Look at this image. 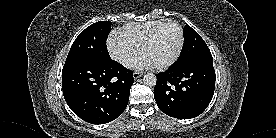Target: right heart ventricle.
<instances>
[{
  "mask_svg": "<svg viewBox=\"0 0 276 138\" xmlns=\"http://www.w3.org/2000/svg\"><path fill=\"white\" fill-rule=\"evenodd\" d=\"M161 21V19H158L128 24L121 28L117 34L136 47L141 48L149 33Z\"/></svg>",
  "mask_w": 276,
  "mask_h": 138,
  "instance_id": "right-heart-ventricle-1",
  "label": "right heart ventricle"
}]
</instances>
